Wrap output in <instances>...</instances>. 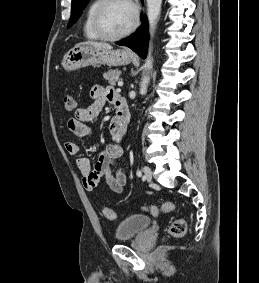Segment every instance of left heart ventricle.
<instances>
[{
    "label": "left heart ventricle",
    "instance_id": "obj_1",
    "mask_svg": "<svg viewBox=\"0 0 259 283\" xmlns=\"http://www.w3.org/2000/svg\"><path fill=\"white\" fill-rule=\"evenodd\" d=\"M133 21V8L126 0H114L101 14V27L106 34L116 35L125 31Z\"/></svg>",
    "mask_w": 259,
    "mask_h": 283
}]
</instances>
